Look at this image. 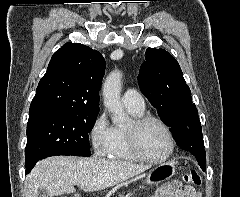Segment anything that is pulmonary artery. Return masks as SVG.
I'll list each match as a JSON object with an SVG mask.
<instances>
[{"mask_svg":"<svg viewBox=\"0 0 240 197\" xmlns=\"http://www.w3.org/2000/svg\"><path fill=\"white\" fill-rule=\"evenodd\" d=\"M124 105L135 110H144L145 101L143 96L135 89H128L122 97Z\"/></svg>","mask_w":240,"mask_h":197,"instance_id":"pulmonary-artery-1","label":"pulmonary artery"}]
</instances>
